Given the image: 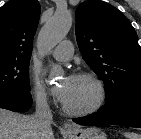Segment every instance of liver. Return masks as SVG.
<instances>
[{"label":"liver","mask_w":141,"mask_h":139,"mask_svg":"<svg viewBox=\"0 0 141 139\" xmlns=\"http://www.w3.org/2000/svg\"><path fill=\"white\" fill-rule=\"evenodd\" d=\"M34 133L33 116L0 108V139H35ZM45 137V139H54L52 129Z\"/></svg>","instance_id":"obj_1"}]
</instances>
